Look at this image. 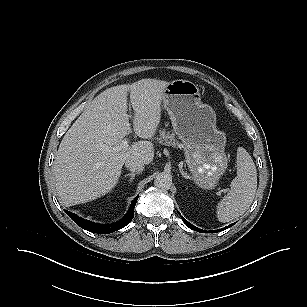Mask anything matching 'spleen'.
Wrapping results in <instances>:
<instances>
[{
  "label": "spleen",
  "instance_id": "spleen-1",
  "mask_svg": "<svg viewBox=\"0 0 307 307\" xmlns=\"http://www.w3.org/2000/svg\"><path fill=\"white\" fill-rule=\"evenodd\" d=\"M257 189V170L249 153L237 149V176L230 184L229 193L217 206L220 222H229L243 215L252 204Z\"/></svg>",
  "mask_w": 307,
  "mask_h": 307
}]
</instances>
